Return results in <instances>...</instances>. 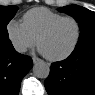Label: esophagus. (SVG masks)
Masks as SVG:
<instances>
[{
	"mask_svg": "<svg viewBox=\"0 0 95 95\" xmlns=\"http://www.w3.org/2000/svg\"><path fill=\"white\" fill-rule=\"evenodd\" d=\"M32 60H33V63H34V64H36V63H38L39 61H41L38 57H33Z\"/></svg>",
	"mask_w": 95,
	"mask_h": 95,
	"instance_id": "1",
	"label": "esophagus"
}]
</instances>
